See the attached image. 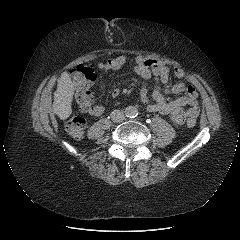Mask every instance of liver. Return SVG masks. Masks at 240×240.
<instances>
[{"label": "liver", "instance_id": "obj_1", "mask_svg": "<svg viewBox=\"0 0 240 240\" xmlns=\"http://www.w3.org/2000/svg\"><path fill=\"white\" fill-rule=\"evenodd\" d=\"M74 84L67 72H63L58 79L57 89L54 92L53 112L61 119H67L72 113Z\"/></svg>", "mask_w": 240, "mask_h": 240}]
</instances>
